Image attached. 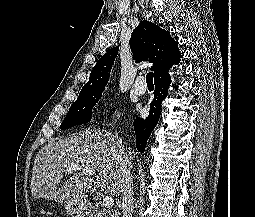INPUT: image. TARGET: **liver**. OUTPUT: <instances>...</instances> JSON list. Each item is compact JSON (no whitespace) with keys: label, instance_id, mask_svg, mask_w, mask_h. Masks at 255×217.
Returning a JSON list of instances; mask_svg holds the SVG:
<instances>
[{"label":"liver","instance_id":"liver-1","mask_svg":"<svg viewBox=\"0 0 255 217\" xmlns=\"http://www.w3.org/2000/svg\"><path fill=\"white\" fill-rule=\"evenodd\" d=\"M129 157L132 168L133 156L130 154ZM71 164L80 165L81 170L58 187ZM86 169L98 173L97 184L105 194L118 195L121 192L114 134L98 129L85 130L44 146L34 160L30 185L32 196L64 204L84 200L93 183Z\"/></svg>","mask_w":255,"mask_h":217}]
</instances>
